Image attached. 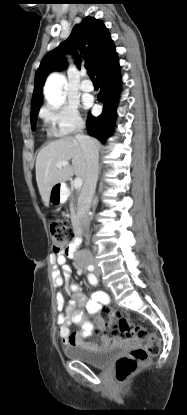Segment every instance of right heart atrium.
Returning <instances> with one entry per match:
<instances>
[{"mask_svg":"<svg viewBox=\"0 0 187 415\" xmlns=\"http://www.w3.org/2000/svg\"><path fill=\"white\" fill-rule=\"evenodd\" d=\"M40 116L50 131L57 136L73 134L84 126L83 119L73 104L64 103L56 108L45 106L42 108Z\"/></svg>","mask_w":187,"mask_h":415,"instance_id":"d8ad5b80","label":"right heart atrium"}]
</instances>
